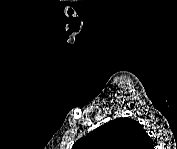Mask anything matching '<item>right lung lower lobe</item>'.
<instances>
[{"label": "right lung lower lobe", "instance_id": "right-lung-lower-lobe-1", "mask_svg": "<svg viewBox=\"0 0 177 149\" xmlns=\"http://www.w3.org/2000/svg\"><path fill=\"white\" fill-rule=\"evenodd\" d=\"M143 143H147L146 145L149 147V146H152V140L150 139L149 136L145 137L144 138V141Z\"/></svg>", "mask_w": 177, "mask_h": 149}]
</instances>
